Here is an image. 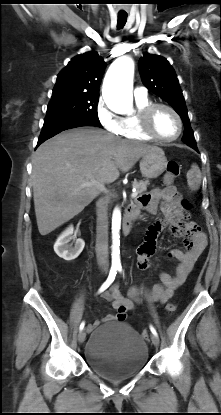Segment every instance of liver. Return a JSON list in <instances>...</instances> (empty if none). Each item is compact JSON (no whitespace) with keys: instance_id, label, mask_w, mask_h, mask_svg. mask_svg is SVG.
<instances>
[{"instance_id":"6515ba94","label":"liver","mask_w":221,"mask_h":415,"mask_svg":"<svg viewBox=\"0 0 221 415\" xmlns=\"http://www.w3.org/2000/svg\"><path fill=\"white\" fill-rule=\"evenodd\" d=\"M158 147L128 141L93 127L62 132L41 144L32 158L38 230L45 236L78 215L104 187Z\"/></svg>"}]
</instances>
